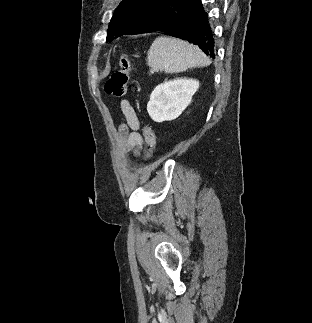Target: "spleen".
Returning a JSON list of instances; mask_svg holds the SVG:
<instances>
[{
    "label": "spleen",
    "instance_id": "1",
    "mask_svg": "<svg viewBox=\"0 0 312 323\" xmlns=\"http://www.w3.org/2000/svg\"><path fill=\"white\" fill-rule=\"evenodd\" d=\"M147 64L153 72L162 70L166 74H178L188 68L209 66L211 62L198 46L179 38L159 36L147 52Z\"/></svg>",
    "mask_w": 312,
    "mask_h": 323
}]
</instances>
